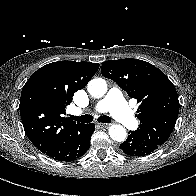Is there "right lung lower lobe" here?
Wrapping results in <instances>:
<instances>
[{"instance_id": "1", "label": "right lung lower lobe", "mask_w": 196, "mask_h": 196, "mask_svg": "<svg viewBox=\"0 0 196 196\" xmlns=\"http://www.w3.org/2000/svg\"><path fill=\"white\" fill-rule=\"evenodd\" d=\"M95 130L94 124H81L73 130L61 143L44 152L58 161H73L90 148V138Z\"/></svg>"}]
</instances>
